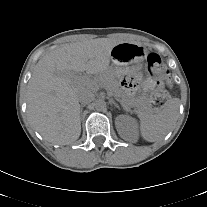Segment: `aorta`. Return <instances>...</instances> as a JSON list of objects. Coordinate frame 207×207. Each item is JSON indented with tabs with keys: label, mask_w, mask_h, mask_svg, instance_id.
<instances>
[{
	"label": "aorta",
	"mask_w": 207,
	"mask_h": 207,
	"mask_svg": "<svg viewBox=\"0 0 207 207\" xmlns=\"http://www.w3.org/2000/svg\"><path fill=\"white\" fill-rule=\"evenodd\" d=\"M107 107L106 102L103 99H99L95 102V108L99 111L105 110Z\"/></svg>",
	"instance_id": "1"
}]
</instances>
